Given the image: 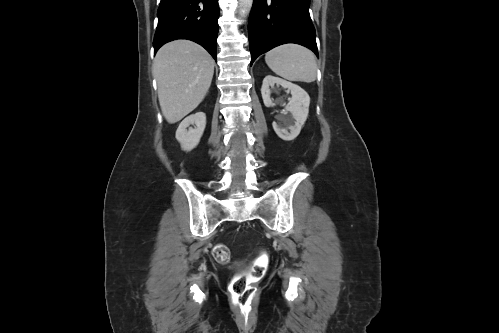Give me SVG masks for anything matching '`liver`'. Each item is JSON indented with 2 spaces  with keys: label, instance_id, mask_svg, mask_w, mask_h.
I'll use <instances>...</instances> for the list:
<instances>
[{
  "label": "liver",
  "instance_id": "obj_1",
  "mask_svg": "<svg viewBox=\"0 0 499 333\" xmlns=\"http://www.w3.org/2000/svg\"><path fill=\"white\" fill-rule=\"evenodd\" d=\"M213 73V58L197 43L180 39L159 49L153 74L157 80L159 104L168 123L180 121L202 102Z\"/></svg>",
  "mask_w": 499,
  "mask_h": 333
}]
</instances>
